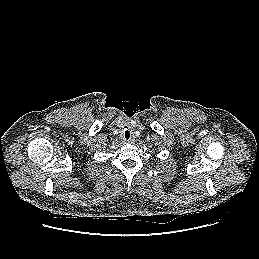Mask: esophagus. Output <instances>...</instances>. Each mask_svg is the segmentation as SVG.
I'll list each match as a JSON object with an SVG mask.
<instances>
[{"label": "esophagus", "instance_id": "esophagus-1", "mask_svg": "<svg viewBox=\"0 0 259 259\" xmlns=\"http://www.w3.org/2000/svg\"><path fill=\"white\" fill-rule=\"evenodd\" d=\"M123 140L126 141V142H130L131 134H129V132L124 133Z\"/></svg>", "mask_w": 259, "mask_h": 259}]
</instances>
